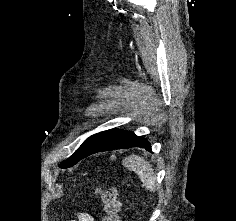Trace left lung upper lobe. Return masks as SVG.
Returning <instances> with one entry per match:
<instances>
[{"label":"left lung upper lobe","instance_id":"left-lung-upper-lobe-1","mask_svg":"<svg viewBox=\"0 0 236 221\" xmlns=\"http://www.w3.org/2000/svg\"><path fill=\"white\" fill-rule=\"evenodd\" d=\"M94 136V135H93ZM89 137L77 150L76 152L70 157L68 158L67 160L63 161L59 167L60 168H68V167H71L73 165H75L77 163V157H78V154L80 152V150L92 139V137Z\"/></svg>","mask_w":236,"mask_h":221}]
</instances>
